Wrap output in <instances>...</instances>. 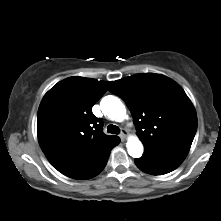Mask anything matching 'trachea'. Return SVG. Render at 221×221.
Here are the masks:
<instances>
[{"instance_id":"3493384b","label":"trachea","mask_w":221,"mask_h":221,"mask_svg":"<svg viewBox=\"0 0 221 221\" xmlns=\"http://www.w3.org/2000/svg\"><path fill=\"white\" fill-rule=\"evenodd\" d=\"M107 132L108 133H113V134H119L120 129H119L118 126L111 124V125L107 126Z\"/></svg>"}]
</instances>
